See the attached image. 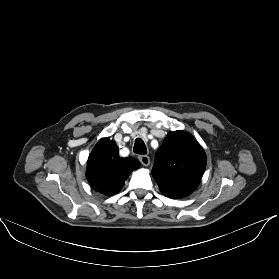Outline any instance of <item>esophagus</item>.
I'll return each instance as SVG.
<instances>
[{
  "label": "esophagus",
  "instance_id": "1",
  "mask_svg": "<svg viewBox=\"0 0 279 279\" xmlns=\"http://www.w3.org/2000/svg\"><path fill=\"white\" fill-rule=\"evenodd\" d=\"M139 159L143 166H148L150 164V159L146 155L140 156Z\"/></svg>",
  "mask_w": 279,
  "mask_h": 279
}]
</instances>
